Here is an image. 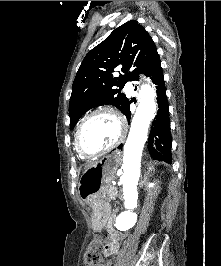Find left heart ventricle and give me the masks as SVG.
Instances as JSON below:
<instances>
[{
  "label": "left heart ventricle",
  "instance_id": "b2bd125f",
  "mask_svg": "<svg viewBox=\"0 0 221 266\" xmlns=\"http://www.w3.org/2000/svg\"><path fill=\"white\" fill-rule=\"evenodd\" d=\"M119 135V124L110 114H98L86 125L82 143L91 152L101 150L112 144Z\"/></svg>",
  "mask_w": 221,
  "mask_h": 266
}]
</instances>
